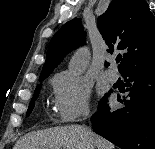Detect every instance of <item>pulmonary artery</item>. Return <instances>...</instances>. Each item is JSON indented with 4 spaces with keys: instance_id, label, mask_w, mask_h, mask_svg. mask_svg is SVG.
Wrapping results in <instances>:
<instances>
[{
    "instance_id": "pulmonary-artery-1",
    "label": "pulmonary artery",
    "mask_w": 155,
    "mask_h": 149,
    "mask_svg": "<svg viewBox=\"0 0 155 149\" xmlns=\"http://www.w3.org/2000/svg\"><path fill=\"white\" fill-rule=\"evenodd\" d=\"M104 75L107 78V80L111 83L116 82L119 78V75L115 69L107 70Z\"/></svg>"
}]
</instances>
